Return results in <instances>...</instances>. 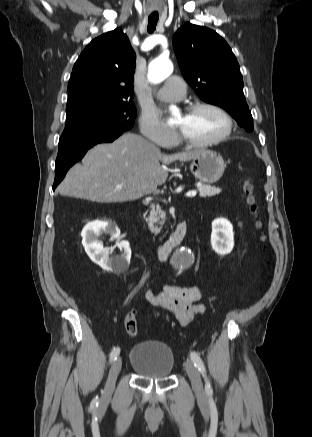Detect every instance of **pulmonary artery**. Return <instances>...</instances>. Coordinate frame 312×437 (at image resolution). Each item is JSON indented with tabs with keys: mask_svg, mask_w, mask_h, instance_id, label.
<instances>
[{
	"mask_svg": "<svg viewBox=\"0 0 312 437\" xmlns=\"http://www.w3.org/2000/svg\"><path fill=\"white\" fill-rule=\"evenodd\" d=\"M186 94L185 82L177 77L172 76L166 80L158 92V98L163 101H178Z\"/></svg>",
	"mask_w": 312,
	"mask_h": 437,
	"instance_id": "e3ab8cb5",
	"label": "pulmonary artery"
}]
</instances>
